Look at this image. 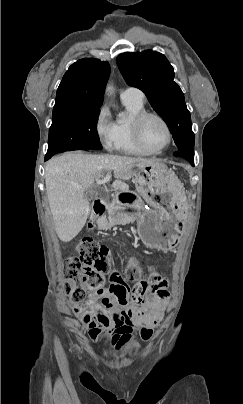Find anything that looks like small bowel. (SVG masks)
<instances>
[{
    "label": "small bowel",
    "mask_w": 243,
    "mask_h": 404,
    "mask_svg": "<svg viewBox=\"0 0 243 404\" xmlns=\"http://www.w3.org/2000/svg\"><path fill=\"white\" fill-rule=\"evenodd\" d=\"M98 286H90V294L82 302L73 305L76 326L88 331L92 340L104 334L107 342L119 351L132 338L135 327L144 340L153 335V328L163 317L169 294L168 282H140L134 291H142L144 300L138 306H128L129 287L119 274L114 273L107 282L99 278Z\"/></svg>",
    "instance_id": "1"
}]
</instances>
